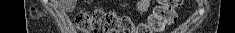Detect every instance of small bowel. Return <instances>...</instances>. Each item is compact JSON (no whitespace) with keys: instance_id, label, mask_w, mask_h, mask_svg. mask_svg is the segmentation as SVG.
I'll return each instance as SVG.
<instances>
[{"instance_id":"c3829d8e","label":"small bowel","mask_w":235,"mask_h":33,"mask_svg":"<svg viewBox=\"0 0 235 33\" xmlns=\"http://www.w3.org/2000/svg\"><path fill=\"white\" fill-rule=\"evenodd\" d=\"M138 7H139V9H141V10L146 9V8H147V2H146V1L140 2L139 5H138Z\"/></svg>"}]
</instances>
